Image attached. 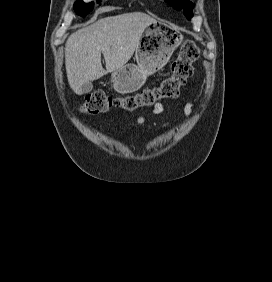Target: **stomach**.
Here are the masks:
<instances>
[{
  "label": "stomach",
  "mask_w": 272,
  "mask_h": 282,
  "mask_svg": "<svg viewBox=\"0 0 272 282\" xmlns=\"http://www.w3.org/2000/svg\"><path fill=\"white\" fill-rule=\"evenodd\" d=\"M182 40L183 36L167 24L155 22L146 27L136 47L137 64H126L114 71L111 74L113 88L121 94L140 89L149 75L166 65Z\"/></svg>",
  "instance_id": "0dacf381"
}]
</instances>
